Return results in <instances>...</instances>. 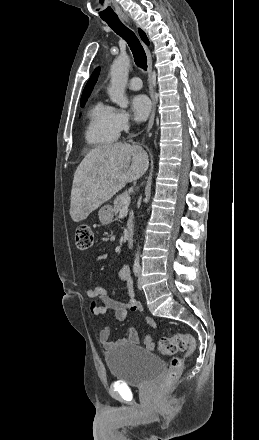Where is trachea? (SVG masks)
I'll return each instance as SVG.
<instances>
[{
	"instance_id": "1",
	"label": "trachea",
	"mask_w": 259,
	"mask_h": 440,
	"mask_svg": "<svg viewBox=\"0 0 259 440\" xmlns=\"http://www.w3.org/2000/svg\"><path fill=\"white\" fill-rule=\"evenodd\" d=\"M119 36H121L129 45L136 65L143 69H147L146 53L136 37V35L124 26L118 17L104 20Z\"/></svg>"
}]
</instances>
